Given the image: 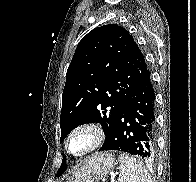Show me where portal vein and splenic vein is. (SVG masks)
<instances>
[{
  "label": "portal vein and splenic vein",
  "instance_id": "obj_1",
  "mask_svg": "<svg viewBox=\"0 0 196 182\" xmlns=\"http://www.w3.org/2000/svg\"><path fill=\"white\" fill-rule=\"evenodd\" d=\"M111 179H112V182H114V177H112Z\"/></svg>",
  "mask_w": 196,
  "mask_h": 182
}]
</instances>
